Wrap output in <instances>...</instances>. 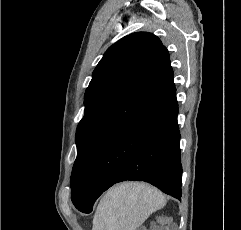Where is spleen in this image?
I'll return each instance as SVG.
<instances>
[{"instance_id":"3e777b00","label":"spleen","mask_w":241,"mask_h":230,"mask_svg":"<svg viewBox=\"0 0 241 230\" xmlns=\"http://www.w3.org/2000/svg\"><path fill=\"white\" fill-rule=\"evenodd\" d=\"M164 205V195L148 184L125 182L116 185L102 196L92 230H136Z\"/></svg>"}]
</instances>
